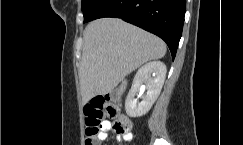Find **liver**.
<instances>
[{
  "instance_id": "6515ba94",
  "label": "liver",
  "mask_w": 243,
  "mask_h": 145,
  "mask_svg": "<svg viewBox=\"0 0 243 145\" xmlns=\"http://www.w3.org/2000/svg\"><path fill=\"white\" fill-rule=\"evenodd\" d=\"M83 38L79 78L84 104L95 94L110 93L129 73L166 54L160 38L116 18L92 21Z\"/></svg>"
}]
</instances>
